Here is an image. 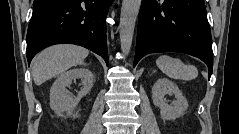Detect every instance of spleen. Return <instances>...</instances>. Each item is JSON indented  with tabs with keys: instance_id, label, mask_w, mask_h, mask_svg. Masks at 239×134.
<instances>
[{
	"instance_id": "1",
	"label": "spleen",
	"mask_w": 239,
	"mask_h": 134,
	"mask_svg": "<svg viewBox=\"0 0 239 134\" xmlns=\"http://www.w3.org/2000/svg\"><path fill=\"white\" fill-rule=\"evenodd\" d=\"M158 68L172 79L193 80L198 76V70L193 65H186L178 58L162 55L156 60Z\"/></svg>"
}]
</instances>
